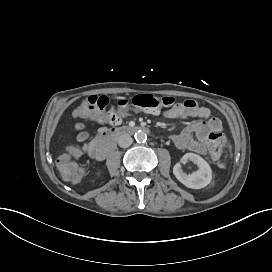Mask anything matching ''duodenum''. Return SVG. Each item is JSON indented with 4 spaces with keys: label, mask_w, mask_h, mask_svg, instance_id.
<instances>
[{
    "label": "duodenum",
    "mask_w": 272,
    "mask_h": 272,
    "mask_svg": "<svg viewBox=\"0 0 272 272\" xmlns=\"http://www.w3.org/2000/svg\"><path fill=\"white\" fill-rule=\"evenodd\" d=\"M140 130L147 131V128L143 126H124L102 130L99 133V141L94 153V157L97 160H104L106 156L114 149L118 138L124 135L134 134Z\"/></svg>",
    "instance_id": "410a0bca"
}]
</instances>
